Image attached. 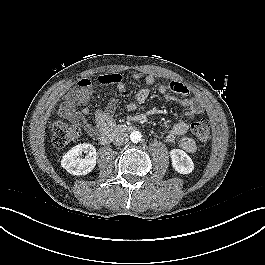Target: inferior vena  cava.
<instances>
[{"label":"inferior vena cava","mask_w":265,"mask_h":265,"mask_svg":"<svg viewBox=\"0 0 265 265\" xmlns=\"http://www.w3.org/2000/svg\"><path fill=\"white\" fill-rule=\"evenodd\" d=\"M128 134L127 133H118L114 138V145H123L128 142Z\"/></svg>","instance_id":"obj_1"}]
</instances>
